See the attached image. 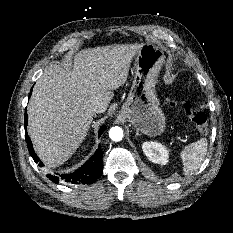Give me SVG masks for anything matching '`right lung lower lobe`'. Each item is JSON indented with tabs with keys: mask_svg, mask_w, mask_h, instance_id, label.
<instances>
[{
	"mask_svg": "<svg viewBox=\"0 0 233 233\" xmlns=\"http://www.w3.org/2000/svg\"><path fill=\"white\" fill-rule=\"evenodd\" d=\"M31 95V92H30ZM29 95V96H30ZM27 122H28V115L27 112H25V117H24V125H25V139L27 142V146L30 152V155L34 159L36 163L40 161L38 156L35 154L31 140L27 134L26 127H27ZM106 129V126H102L99 130V137L103 133V131ZM39 165H42L40 162ZM103 169H102V151L100 146L94 153V155L78 170H76L74 173L70 174H62L61 177L58 176H53V175H48V178L52 180L55 183L59 182V179L61 178L62 180L66 182H70L73 184H92L94 183L102 174Z\"/></svg>",
	"mask_w": 233,
	"mask_h": 233,
	"instance_id": "98d812e1",
	"label": "right lung lower lobe"
}]
</instances>
